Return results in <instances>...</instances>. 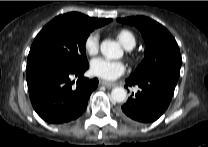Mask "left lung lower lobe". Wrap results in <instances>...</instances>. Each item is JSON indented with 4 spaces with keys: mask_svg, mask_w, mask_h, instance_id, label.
I'll use <instances>...</instances> for the list:
<instances>
[{
    "mask_svg": "<svg viewBox=\"0 0 208 147\" xmlns=\"http://www.w3.org/2000/svg\"><path fill=\"white\" fill-rule=\"evenodd\" d=\"M177 81L166 73L128 78V86H138L140 90L119 109L120 117L135 125L157 120L169 106Z\"/></svg>",
    "mask_w": 208,
    "mask_h": 147,
    "instance_id": "0a47b994",
    "label": "left lung lower lobe"
}]
</instances>
